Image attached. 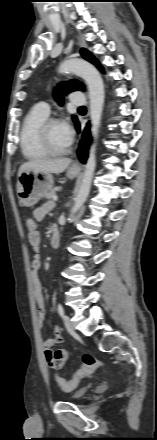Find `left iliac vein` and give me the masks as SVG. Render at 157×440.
Instances as JSON below:
<instances>
[{
	"label": "left iliac vein",
	"mask_w": 157,
	"mask_h": 440,
	"mask_svg": "<svg viewBox=\"0 0 157 440\" xmlns=\"http://www.w3.org/2000/svg\"><path fill=\"white\" fill-rule=\"evenodd\" d=\"M63 319H64V324H65L67 331L71 334H74V326L71 321V318L69 316L65 315V316H63Z\"/></svg>",
	"instance_id": "left-iliac-vein-1"
}]
</instances>
